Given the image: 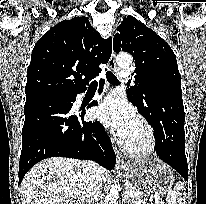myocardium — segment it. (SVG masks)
I'll list each match as a JSON object with an SVG mask.
<instances>
[{"label":"myocardium","instance_id":"1","mask_svg":"<svg viewBox=\"0 0 206 204\" xmlns=\"http://www.w3.org/2000/svg\"><path fill=\"white\" fill-rule=\"evenodd\" d=\"M137 122L141 125L144 131V143L138 147H135L132 146L128 141H125L123 144V148L128 155L135 157H146L153 154L157 149V134L152 124L145 117L138 116Z\"/></svg>","mask_w":206,"mask_h":204}]
</instances>
